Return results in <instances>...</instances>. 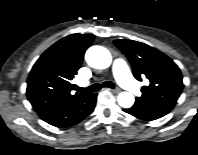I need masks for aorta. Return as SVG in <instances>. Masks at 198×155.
<instances>
[{
	"label": "aorta",
	"instance_id": "1",
	"mask_svg": "<svg viewBox=\"0 0 198 155\" xmlns=\"http://www.w3.org/2000/svg\"><path fill=\"white\" fill-rule=\"evenodd\" d=\"M85 60L89 66L96 69H106L111 65L112 56L110 52L102 46H91L85 54ZM118 104L123 108H130L135 102L133 94L121 92L117 97Z\"/></svg>",
	"mask_w": 198,
	"mask_h": 155
}]
</instances>
